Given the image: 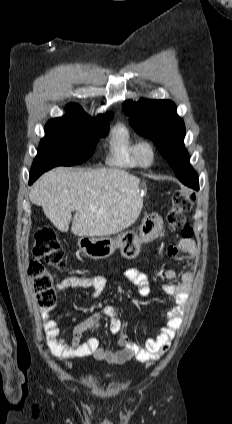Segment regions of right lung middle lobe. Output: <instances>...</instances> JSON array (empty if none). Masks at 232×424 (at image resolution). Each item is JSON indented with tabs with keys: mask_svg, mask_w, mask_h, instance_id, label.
<instances>
[{
	"mask_svg": "<svg viewBox=\"0 0 232 424\" xmlns=\"http://www.w3.org/2000/svg\"><path fill=\"white\" fill-rule=\"evenodd\" d=\"M112 117L97 122L69 115L49 120L30 177H39L55 166L86 161L93 155L98 138L105 136L109 127L107 121Z\"/></svg>",
	"mask_w": 232,
	"mask_h": 424,
	"instance_id": "dd1d6c3e",
	"label": "right lung middle lobe"
}]
</instances>
